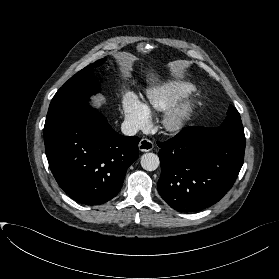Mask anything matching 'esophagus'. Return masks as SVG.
<instances>
[{
  "label": "esophagus",
  "mask_w": 279,
  "mask_h": 279,
  "mask_svg": "<svg viewBox=\"0 0 279 279\" xmlns=\"http://www.w3.org/2000/svg\"><path fill=\"white\" fill-rule=\"evenodd\" d=\"M138 147L142 152H149L153 149L154 145L149 139L143 138L140 140Z\"/></svg>",
  "instance_id": "34e87169"
}]
</instances>
